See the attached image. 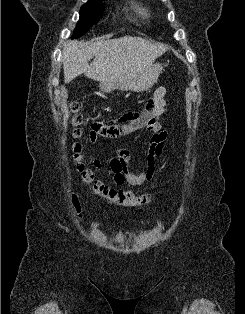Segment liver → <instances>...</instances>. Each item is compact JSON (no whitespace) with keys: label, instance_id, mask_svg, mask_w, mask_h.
Returning <instances> with one entry per match:
<instances>
[{"label":"liver","instance_id":"liver-1","mask_svg":"<svg viewBox=\"0 0 245 314\" xmlns=\"http://www.w3.org/2000/svg\"><path fill=\"white\" fill-rule=\"evenodd\" d=\"M168 49L162 43L135 36L100 39L89 45L77 40L69 41L62 52L64 82L69 83L83 73L99 82L126 81L150 69Z\"/></svg>","mask_w":245,"mask_h":314}]
</instances>
